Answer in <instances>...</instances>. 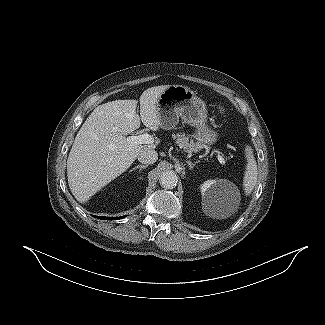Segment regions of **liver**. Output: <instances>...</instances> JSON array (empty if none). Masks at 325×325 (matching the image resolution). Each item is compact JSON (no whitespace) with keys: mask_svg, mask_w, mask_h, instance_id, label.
Returning <instances> with one entry per match:
<instances>
[{"mask_svg":"<svg viewBox=\"0 0 325 325\" xmlns=\"http://www.w3.org/2000/svg\"><path fill=\"white\" fill-rule=\"evenodd\" d=\"M170 85L151 87L136 100H116L97 106L78 131L67 160L69 188L80 203L87 202L102 187L126 171L141 151L156 144H130L127 135L142 123L157 131L160 126L158 97Z\"/></svg>","mask_w":325,"mask_h":325,"instance_id":"6515ba94","label":"liver"}]
</instances>
